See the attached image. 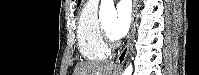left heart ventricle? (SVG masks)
<instances>
[{
	"label": "left heart ventricle",
	"mask_w": 199,
	"mask_h": 75,
	"mask_svg": "<svg viewBox=\"0 0 199 75\" xmlns=\"http://www.w3.org/2000/svg\"><path fill=\"white\" fill-rule=\"evenodd\" d=\"M111 22H106V23H103V27L105 28V30L110 33V27H111Z\"/></svg>",
	"instance_id": "obj_1"
}]
</instances>
